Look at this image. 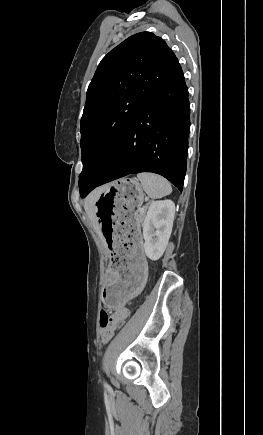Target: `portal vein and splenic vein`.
<instances>
[{
	"mask_svg": "<svg viewBox=\"0 0 263 435\" xmlns=\"http://www.w3.org/2000/svg\"><path fill=\"white\" fill-rule=\"evenodd\" d=\"M139 211H140V212L144 211V208H140Z\"/></svg>",
	"mask_w": 263,
	"mask_h": 435,
	"instance_id": "1",
	"label": "portal vein and splenic vein"
}]
</instances>
